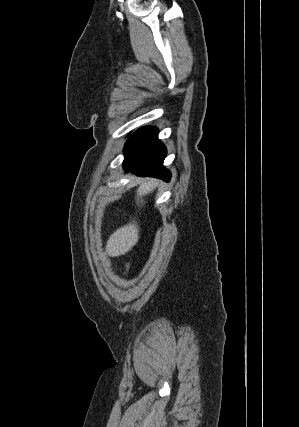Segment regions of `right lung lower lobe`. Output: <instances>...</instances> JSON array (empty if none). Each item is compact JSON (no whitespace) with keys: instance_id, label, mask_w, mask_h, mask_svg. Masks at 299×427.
Here are the masks:
<instances>
[{"instance_id":"obj_1","label":"right lung lower lobe","mask_w":299,"mask_h":427,"mask_svg":"<svg viewBox=\"0 0 299 427\" xmlns=\"http://www.w3.org/2000/svg\"><path fill=\"white\" fill-rule=\"evenodd\" d=\"M124 169L139 176L170 180V172L163 166L166 148L158 139V129L144 127L136 131L126 142Z\"/></svg>"}]
</instances>
